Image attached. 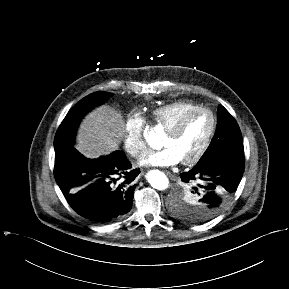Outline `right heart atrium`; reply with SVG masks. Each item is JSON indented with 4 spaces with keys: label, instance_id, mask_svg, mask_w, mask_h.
Wrapping results in <instances>:
<instances>
[{
    "label": "right heart atrium",
    "instance_id": "d8ad5b80",
    "mask_svg": "<svg viewBox=\"0 0 289 289\" xmlns=\"http://www.w3.org/2000/svg\"><path fill=\"white\" fill-rule=\"evenodd\" d=\"M146 119L138 112H131L124 122L123 143L126 151L134 158H142L148 152L144 139Z\"/></svg>",
    "mask_w": 289,
    "mask_h": 289
}]
</instances>
